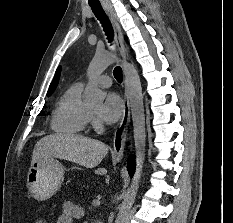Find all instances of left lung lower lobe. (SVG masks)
Returning a JSON list of instances; mask_svg holds the SVG:
<instances>
[{
	"label": "left lung lower lobe",
	"instance_id": "0a47b994",
	"mask_svg": "<svg viewBox=\"0 0 233 223\" xmlns=\"http://www.w3.org/2000/svg\"><path fill=\"white\" fill-rule=\"evenodd\" d=\"M127 168H128V172L130 173V175L132 177V175H133V173L135 171V162H134L133 158L128 160Z\"/></svg>",
	"mask_w": 233,
	"mask_h": 223
}]
</instances>
